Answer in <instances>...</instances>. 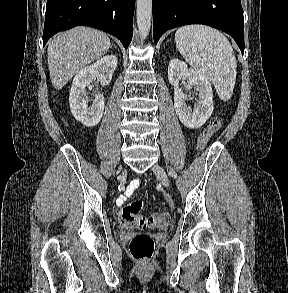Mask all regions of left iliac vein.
Listing matches in <instances>:
<instances>
[{
    "label": "left iliac vein",
    "mask_w": 288,
    "mask_h": 293,
    "mask_svg": "<svg viewBox=\"0 0 288 293\" xmlns=\"http://www.w3.org/2000/svg\"><path fill=\"white\" fill-rule=\"evenodd\" d=\"M152 170L155 173V175L157 176V178L160 180L162 185L164 187H169V184H170L169 178H168L166 172L164 171V169L159 164H155L152 167Z\"/></svg>",
    "instance_id": "4c4485c4"
}]
</instances>
